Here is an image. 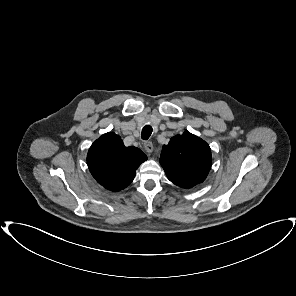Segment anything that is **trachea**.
Returning <instances> with one entry per match:
<instances>
[{
	"label": "trachea",
	"mask_w": 296,
	"mask_h": 296,
	"mask_svg": "<svg viewBox=\"0 0 296 296\" xmlns=\"http://www.w3.org/2000/svg\"><path fill=\"white\" fill-rule=\"evenodd\" d=\"M152 131H153V129L150 125L144 126L142 129L141 138L143 140H147L151 136Z\"/></svg>",
	"instance_id": "3493384b"
}]
</instances>
